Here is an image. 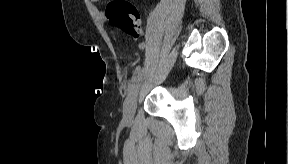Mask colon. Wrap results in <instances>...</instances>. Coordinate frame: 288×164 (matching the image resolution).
I'll return each mask as SVG.
<instances>
[{"label": "colon", "instance_id": "obj_1", "mask_svg": "<svg viewBox=\"0 0 288 164\" xmlns=\"http://www.w3.org/2000/svg\"><path fill=\"white\" fill-rule=\"evenodd\" d=\"M105 16L113 26L121 28L128 35L142 39L143 28L140 24L138 9L128 0H111L105 9Z\"/></svg>", "mask_w": 288, "mask_h": 164}]
</instances>
